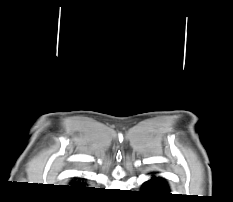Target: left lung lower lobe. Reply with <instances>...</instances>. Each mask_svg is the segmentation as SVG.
Returning <instances> with one entry per match:
<instances>
[{
    "label": "left lung lower lobe",
    "mask_w": 233,
    "mask_h": 202,
    "mask_svg": "<svg viewBox=\"0 0 233 202\" xmlns=\"http://www.w3.org/2000/svg\"><path fill=\"white\" fill-rule=\"evenodd\" d=\"M142 193L152 201L162 202L171 195L166 182L160 177H152L143 186Z\"/></svg>",
    "instance_id": "obj_1"
}]
</instances>
